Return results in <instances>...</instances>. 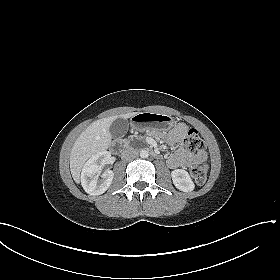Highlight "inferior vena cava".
Instances as JSON below:
<instances>
[{
	"label": "inferior vena cava",
	"instance_id": "inferior-vena-cava-1",
	"mask_svg": "<svg viewBox=\"0 0 280 280\" xmlns=\"http://www.w3.org/2000/svg\"><path fill=\"white\" fill-rule=\"evenodd\" d=\"M138 156V151L134 148H127L121 153V158L123 160H133Z\"/></svg>",
	"mask_w": 280,
	"mask_h": 280
}]
</instances>
